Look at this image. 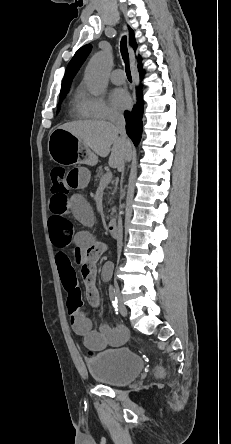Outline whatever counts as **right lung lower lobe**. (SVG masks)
Here are the masks:
<instances>
[{"mask_svg":"<svg viewBox=\"0 0 231 444\" xmlns=\"http://www.w3.org/2000/svg\"><path fill=\"white\" fill-rule=\"evenodd\" d=\"M141 78H143L144 71L140 70ZM138 103L134 111L125 112L126 131L135 145L138 144L142 132V115H143V101L140 88L137 89Z\"/></svg>","mask_w":231,"mask_h":444,"instance_id":"1","label":"right lung lower lobe"}]
</instances>
